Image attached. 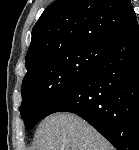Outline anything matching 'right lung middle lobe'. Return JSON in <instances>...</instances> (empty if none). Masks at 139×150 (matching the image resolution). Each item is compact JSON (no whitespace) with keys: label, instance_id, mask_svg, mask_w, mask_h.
Masks as SVG:
<instances>
[{"label":"right lung middle lobe","instance_id":"dd1d6c3e","mask_svg":"<svg viewBox=\"0 0 139 150\" xmlns=\"http://www.w3.org/2000/svg\"><path fill=\"white\" fill-rule=\"evenodd\" d=\"M108 46H93L56 54L25 75L20 113L31 130L49 106L82 80Z\"/></svg>","mask_w":139,"mask_h":150}]
</instances>
